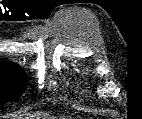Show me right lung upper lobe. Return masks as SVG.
<instances>
[{"label":"right lung upper lobe","instance_id":"cb5924a9","mask_svg":"<svg viewBox=\"0 0 142 119\" xmlns=\"http://www.w3.org/2000/svg\"><path fill=\"white\" fill-rule=\"evenodd\" d=\"M14 68H20L18 65L14 64L13 62H2V66L0 69H4V70H11Z\"/></svg>","mask_w":142,"mask_h":119}]
</instances>
